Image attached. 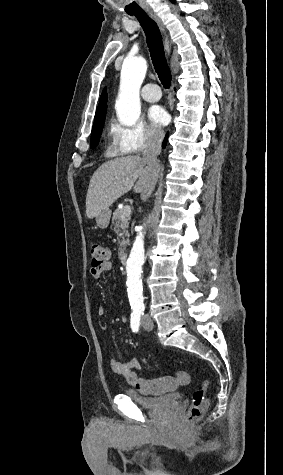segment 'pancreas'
Wrapping results in <instances>:
<instances>
[{
  "mask_svg": "<svg viewBox=\"0 0 283 475\" xmlns=\"http://www.w3.org/2000/svg\"><path fill=\"white\" fill-rule=\"evenodd\" d=\"M127 206L124 208H118L113 212L112 224H114V232H116L119 239V251L118 253H124L126 249V245L129 243V232H128V220L130 218V214L126 212Z\"/></svg>",
  "mask_w": 283,
  "mask_h": 475,
  "instance_id": "obj_1",
  "label": "pancreas"
}]
</instances>
